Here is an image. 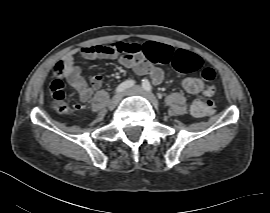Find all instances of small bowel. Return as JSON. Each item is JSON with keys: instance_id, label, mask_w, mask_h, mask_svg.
I'll use <instances>...</instances> for the list:
<instances>
[{"instance_id": "c3829d8e", "label": "small bowel", "mask_w": 270, "mask_h": 213, "mask_svg": "<svg viewBox=\"0 0 270 213\" xmlns=\"http://www.w3.org/2000/svg\"><path fill=\"white\" fill-rule=\"evenodd\" d=\"M150 52L161 62H166V60L171 59L175 54L172 46L160 43H152L150 45ZM78 54L85 60H112L116 56L109 51L108 45H86L80 49L69 51L56 63L55 70L58 73L61 72L67 84L78 93L80 101L87 102L92 97L94 91L101 86L102 77L93 76L89 80H86L82 76L80 66L74 62V58ZM118 61L124 67L132 69L137 75L151 74L155 84H160L163 81L164 74L158 67L150 66L142 61H134L128 55L119 57ZM181 86L186 92L194 95L204 90L205 83L201 78L185 77L181 80ZM75 108L80 109V106L76 105Z\"/></svg>"}]
</instances>
